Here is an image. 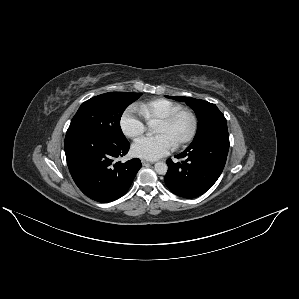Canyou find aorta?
<instances>
[{"label":"aorta","mask_w":299,"mask_h":299,"mask_svg":"<svg viewBox=\"0 0 299 299\" xmlns=\"http://www.w3.org/2000/svg\"><path fill=\"white\" fill-rule=\"evenodd\" d=\"M154 170L157 174L164 175L168 170V166L165 162H157L154 165Z\"/></svg>","instance_id":"aorta-1"}]
</instances>
